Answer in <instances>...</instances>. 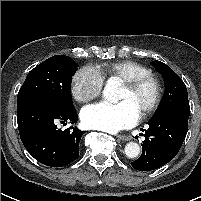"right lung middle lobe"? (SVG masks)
Returning a JSON list of instances; mask_svg holds the SVG:
<instances>
[{
	"label": "right lung middle lobe",
	"instance_id": "right-lung-middle-lobe-1",
	"mask_svg": "<svg viewBox=\"0 0 201 201\" xmlns=\"http://www.w3.org/2000/svg\"><path fill=\"white\" fill-rule=\"evenodd\" d=\"M78 64L65 55H55L32 69L17 96V105L31 98H48L64 108H73L72 76Z\"/></svg>",
	"mask_w": 201,
	"mask_h": 201
}]
</instances>
